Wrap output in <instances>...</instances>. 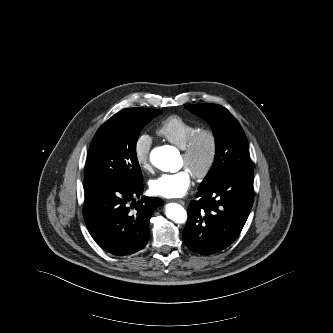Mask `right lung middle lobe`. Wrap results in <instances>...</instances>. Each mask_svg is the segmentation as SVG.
I'll use <instances>...</instances> for the list:
<instances>
[{
    "mask_svg": "<svg viewBox=\"0 0 333 333\" xmlns=\"http://www.w3.org/2000/svg\"><path fill=\"white\" fill-rule=\"evenodd\" d=\"M161 113L156 109L129 108L106 121L90 144L85 180L142 183L136 142L142 128Z\"/></svg>",
    "mask_w": 333,
    "mask_h": 333,
    "instance_id": "1",
    "label": "right lung middle lobe"
}]
</instances>
